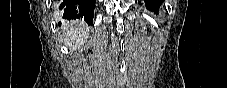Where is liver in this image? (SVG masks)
<instances>
[{"instance_id":"liver-1","label":"liver","mask_w":227,"mask_h":88,"mask_svg":"<svg viewBox=\"0 0 227 88\" xmlns=\"http://www.w3.org/2000/svg\"><path fill=\"white\" fill-rule=\"evenodd\" d=\"M87 36L88 31L84 30V28L67 27L64 42L69 48L76 50L84 43Z\"/></svg>"}]
</instances>
